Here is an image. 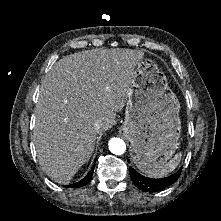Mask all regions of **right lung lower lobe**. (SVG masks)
<instances>
[{"instance_id":"98d812e1","label":"right lung lower lobe","mask_w":221,"mask_h":221,"mask_svg":"<svg viewBox=\"0 0 221 221\" xmlns=\"http://www.w3.org/2000/svg\"><path fill=\"white\" fill-rule=\"evenodd\" d=\"M93 171H94V169L92 168L84 179H82L81 181H79L77 183L68 185L67 187L79 188V187L86 185L92 179Z\"/></svg>"}]
</instances>
